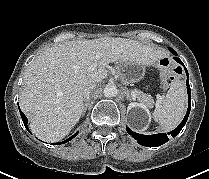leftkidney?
Listing matches in <instances>:
<instances>
[{
  "mask_svg": "<svg viewBox=\"0 0 209 179\" xmlns=\"http://www.w3.org/2000/svg\"><path fill=\"white\" fill-rule=\"evenodd\" d=\"M127 111L132 122L136 123L139 120L140 116L146 117L148 123L151 121V114L146 105L142 103L132 102L128 105Z\"/></svg>",
  "mask_w": 209,
  "mask_h": 179,
  "instance_id": "1",
  "label": "left kidney"
}]
</instances>
